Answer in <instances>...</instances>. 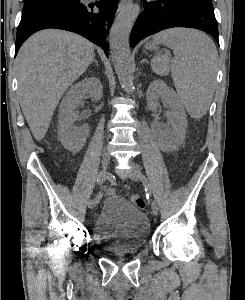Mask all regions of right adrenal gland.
<instances>
[{
  "label": "right adrenal gland",
  "instance_id": "obj_1",
  "mask_svg": "<svg viewBox=\"0 0 245 300\" xmlns=\"http://www.w3.org/2000/svg\"><path fill=\"white\" fill-rule=\"evenodd\" d=\"M93 62L96 63V65H98V61L97 60L93 59L91 63H93Z\"/></svg>",
  "mask_w": 245,
  "mask_h": 300
}]
</instances>
